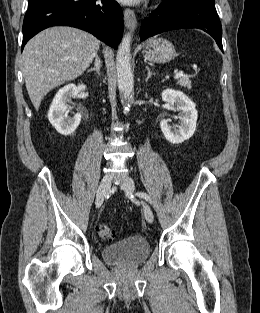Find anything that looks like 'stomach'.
Wrapping results in <instances>:
<instances>
[{"instance_id":"0dacf381","label":"stomach","mask_w":260,"mask_h":313,"mask_svg":"<svg viewBox=\"0 0 260 313\" xmlns=\"http://www.w3.org/2000/svg\"><path fill=\"white\" fill-rule=\"evenodd\" d=\"M144 57L154 63H167L176 57L174 45L164 38H151L143 45Z\"/></svg>"}]
</instances>
